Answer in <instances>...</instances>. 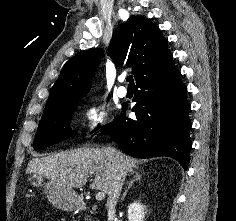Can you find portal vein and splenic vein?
Instances as JSON below:
<instances>
[{"label": "portal vein and splenic vein", "mask_w": 236, "mask_h": 221, "mask_svg": "<svg viewBox=\"0 0 236 221\" xmlns=\"http://www.w3.org/2000/svg\"><path fill=\"white\" fill-rule=\"evenodd\" d=\"M104 198H105V193H104L103 191L98 192V193L96 194V200H97V201H101V200H103Z\"/></svg>", "instance_id": "portal-vein-and-splenic-vein-1"}]
</instances>
